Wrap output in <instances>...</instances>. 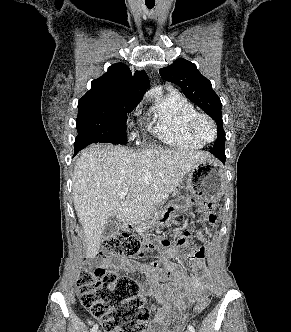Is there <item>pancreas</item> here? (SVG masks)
<instances>
[{"instance_id": "obj_1", "label": "pancreas", "mask_w": 291, "mask_h": 332, "mask_svg": "<svg viewBox=\"0 0 291 332\" xmlns=\"http://www.w3.org/2000/svg\"><path fill=\"white\" fill-rule=\"evenodd\" d=\"M162 203H163V201L160 200V201L157 203V206L160 205V204H162ZM157 206H156V207H157ZM156 207L154 208V210H156Z\"/></svg>"}]
</instances>
